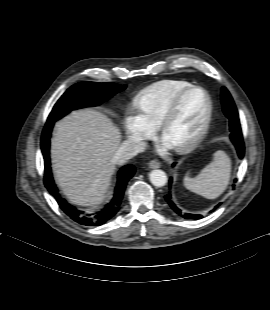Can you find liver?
Instances as JSON below:
<instances>
[{
  "label": "liver",
  "instance_id": "1",
  "mask_svg": "<svg viewBox=\"0 0 270 310\" xmlns=\"http://www.w3.org/2000/svg\"><path fill=\"white\" fill-rule=\"evenodd\" d=\"M119 129L93 109L72 111L58 121L51 142L55 179L68 200L94 206L104 198L114 173Z\"/></svg>",
  "mask_w": 270,
  "mask_h": 310
}]
</instances>
